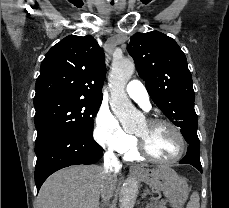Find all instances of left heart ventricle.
I'll return each instance as SVG.
<instances>
[{
    "label": "left heart ventricle",
    "instance_id": "1",
    "mask_svg": "<svg viewBox=\"0 0 229 208\" xmlns=\"http://www.w3.org/2000/svg\"><path fill=\"white\" fill-rule=\"evenodd\" d=\"M170 130L174 129L166 125H150L144 122L136 134L147 138L146 151L151 152V157H158V160H171V158L181 154L185 146L177 147L174 135L169 133Z\"/></svg>",
    "mask_w": 229,
    "mask_h": 208
}]
</instances>
